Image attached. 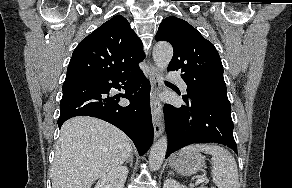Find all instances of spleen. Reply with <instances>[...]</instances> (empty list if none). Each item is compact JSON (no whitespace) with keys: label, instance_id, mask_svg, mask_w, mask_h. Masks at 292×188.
<instances>
[{"label":"spleen","instance_id":"obj_1","mask_svg":"<svg viewBox=\"0 0 292 188\" xmlns=\"http://www.w3.org/2000/svg\"><path fill=\"white\" fill-rule=\"evenodd\" d=\"M205 152L212 155V177L218 188H239L238 169L234 157L223 147L214 144H192L181 153Z\"/></svg>","mask_w":292,"mask_h":188}]
</instances>
